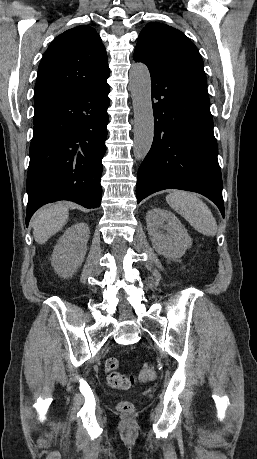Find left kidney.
<instances>
[{
  "instance_id": "obj_1",
  "label": "left kidney",
  "mask_w": 257,
  "mask_h": 459,
  "mask_svg": "<svg viewBox=\"0 0 257 459\" xmlns=\"http://www.w3.org/2000/svg\"><path fill=\"white\" fill-rule=\"evenodd\" d=\"M146 223L153 248L165 258L176 260L191 247V237L172 212L154 208L147 212Z\"/></svg>"
}]
</instances>
